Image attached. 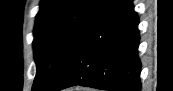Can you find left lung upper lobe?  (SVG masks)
<instances>
[{
    "label": "left lung upper lobe",
    "instance_id": "obj_1",
    "mask_svg": "<svg viewBox=\"0 0 173 91\" xmlns=\"http://www.w3.org/2000/svg\"><path fill=\"white\" fill-rule=\"evenodd\" d=\"M114 0H42L34 27L32 91H50Z\"/></svg>",
    "mask_w": 173,
    "mask_h": 91
}]
</instances>
